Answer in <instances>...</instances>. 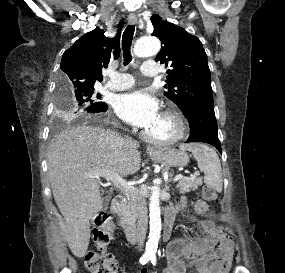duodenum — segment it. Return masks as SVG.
Wrapping results in <instances>:
<instances>
[{
    "instance_id": "obj_1",
    "label": "duodenum",
    "mask_w": 285,
    "mask_h": 273,
    "mask_svg": "<svg viewBox=\"0 0 285 273\" xmlns=\"http://www.w3.org/2000/svg\"><path fill=\"white\" fill-rule=\"evenodd\" d=\"M112 212L116 217L119 226L123 230L127 240L130 243H135L137 239L136 226L132 220H130L126 215V201L124 197L117 196L112 204ZM176 211L173 209H167L164 216V230L163 237L167 240L171 234L174 221H175Z\"/></svg>"
}]
</instances>
